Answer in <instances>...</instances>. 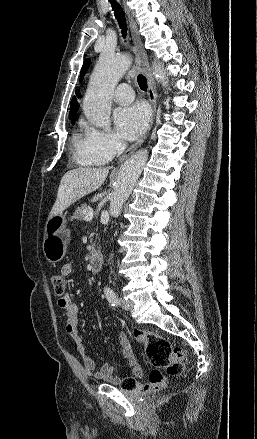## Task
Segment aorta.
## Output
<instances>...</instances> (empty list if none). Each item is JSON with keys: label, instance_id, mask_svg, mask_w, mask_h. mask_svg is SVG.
Instances as JSON below:
<instances>
[{"label": "aorta", "instance_id": "aorta-1", "mask_svg": "<svg viewBox=\"0 0 257 439\" xmlns=\"http://www.w3.org/2000/svg\"><path fill=\"white\" fill-rule=\"evenodd\" d=\"M130 59L126 55H114L104 52L91 76L85 95L83 111L86 118L95 126L110 131L111 98L114 89L128 70ZM153 75L162 83L168 85V79L163 65L154 63ZM148 151L139 150L131 155L121 166L110 196L109 212L117 217L137 182L142 168L147 161Z\"/></svg>", "mask_w": 257, "mask_h": 439}]
</instances>
